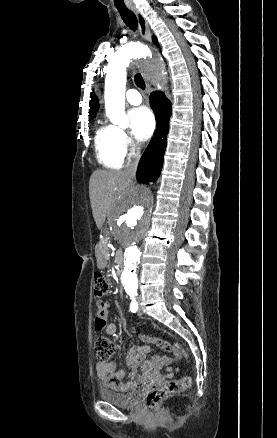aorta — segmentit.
Segmentation results:
<instances>
[{"instance_id":"1","label":"aorta","mask_w":277,"mask_h":438,"mask_svg":"<svg viewBox=\"0 0 277 438\" xmlns=\"http://www.w3.org/2000/svg\"><path fill=\"white\" fill-rule=\"evenodd\" d=\"M150 54L140 43L122 46L111 58L105 78V109L110 121L122 128L127 127L125 114L126 67L133 59ZM150 77L163 80L161 68L152 69ZM152 194L146 186L128 190L115 204L110 215V230L124 253V270L121 281L127 294H135L138 288L137 268L141 258V244L152 223Z\"/></svg>"}]
</instances>
